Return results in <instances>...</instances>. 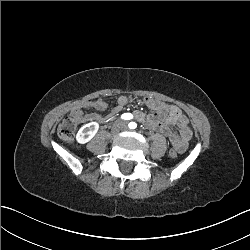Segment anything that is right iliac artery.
<instances>
[{
    "label": "right iliac artery",
    "mask_w": 250,
    "mask_h": 250,
    "mask_svg": "<svg viewBox=\"0 0 250 250\" xmlns=\"http://www.w3.org/2000/svg\"><path fill=\"white\" fill-rule=\"evenodd\" d=\"M122 119L124 120H130L133 118V115L131 113H124L122 116H121Z\"/></svg>",
    "instance_id": "1"
}]
</instances>
